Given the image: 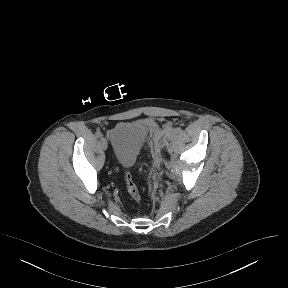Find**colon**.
Listing matches in <instances>:
<instances>
[{
	"mask_svg": "<svg viewBox=\"0 0 288 288\" xmlns=\"http://www.w3.org/2000/svg\"><path fill=\"white\" fill-rule=\"evenodd\" d=\"M125 184L131 198L139 202L141 200V195L130 173L125 174Z\"/></svg>",
	"mask_w": 288,
	"mask_h": 288,
	"instance_id": "5ec220e1",
	"label": "colon"
}]
</instances>
